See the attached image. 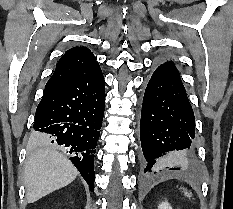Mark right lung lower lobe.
I'll use <instances>...</instances> for the list:
<instances>
[{
	"label": "right lung lower lobe",
	"mask_w": 233,
	"mask_h": 209,
	"mask_svg": "<svg viewBox=\"0 0 233 209\" xmlns=\"http://www.w3.org/2000/svg\"><path fill=\"white\" fill-rule=\"evenodd\" d=\"M104 76L99 64L84 74L45 90L33 128L63 145L93 191L94 153L104 116Z\"/></svg>",
	"instance_id": "right-lung-lower-lobe-1"
}]
</instances>
